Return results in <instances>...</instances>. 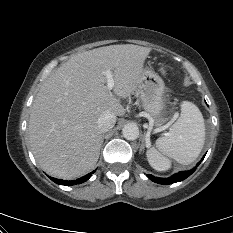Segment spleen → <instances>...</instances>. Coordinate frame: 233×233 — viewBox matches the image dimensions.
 Here are the masks:
<instances>
[{
  "label": "spleen",
  "instance_id": "3e777b00",
  "mask_svg": "<svg viewBox=\"0 0 233 233\" xmlns=\"http://www.w3.org/2000/svg\"><path fill=\"white\" fill-rule=\"evenodd\" d=\"M205 142V124L202 113L192 102L181 103V114L171 126L169 133L159 137L156 149L147 151L150 165L157 171H166L171 162L188 165L194 162L201 153Z\"/></svg>",
  "mask_w": 233,
  "mask_h": 233
}]
</instances>
